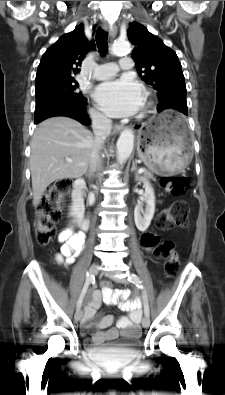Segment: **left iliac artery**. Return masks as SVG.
<instances>
[{
	"label": "left iliac artery",
	"instance_id": "left-iliac-artery-1",
	"mask_svg": "<svg viewBox=\"0 0 225 395\" xmlns=\"http://www.w3.org/2000/svg\"><path fill=\"white\" fill-rule=\"evenodd\" d=\"M128 280L131 283L135 284L138 288L144 289L143 285L141 284L142 282H141L140 278L136 274H134V273L130 274L128 276ZM142 297H143V301H144V313H145V316H149L150 315L149 303H148V299H147V295H146L145 291H143V296Z\"/></svg>",
	"mask_w": 225,
	"mask_h": 395
}]
</instances>
